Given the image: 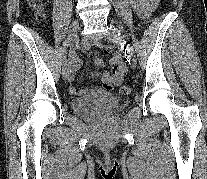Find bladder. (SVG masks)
Returning <instances> with one entry per match:
<instances>
[{"mask_svg":"<svg viewBox=\"0 0 207 179\" xmlns=\"http://www.w3.org/2000/svg\"><path fill=\"white\" fill-rule=\"evenodd\" d=\"M126 105V101L112 93L95 90L72 101L73 111L85 118L103 115H117Z\"/></svg>","mask_w":207,"mask_h":179,"instance_id":"1","label":"bladder"}]
</instances>
